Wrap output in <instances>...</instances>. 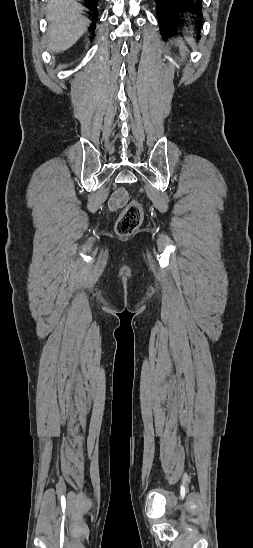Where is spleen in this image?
<instances>
[{
	"label": "spleen",
	"instance_id": "spleen-1",
	"mask_svg": "<svg viewBox=\"0 0 253 548\" xmlns=\"http://www.w3.org/2000/svg\"><path fill=\"white\" fill-rule=\"evenodd\" d=\"M188 40L192 43L193 42V39L191 37L188 38Z\"/></svg>",
	"mask_w": 253,
	"mask_h": 548
}]
</instances>
